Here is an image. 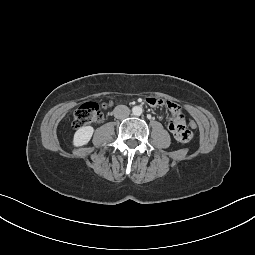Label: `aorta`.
<instances>
[{"instance_id":"aorta-1","label":"aorta","mask_w":255,"mask_h":255,"mask_svg":"<svg viewBox=\"0 0 255 255\" xmlns=\"http://www.w3.org/2000/svg\"><path fill=\"white\" fill-rule=\"evenodd\" d=\"M142 112H143V110H142V107H140V106H134L132 108V113L135 116H140L142 114Z\"/></svg>"}]
</instances>
